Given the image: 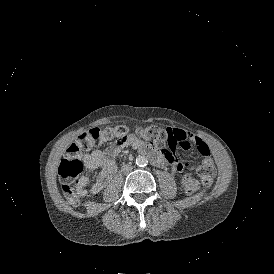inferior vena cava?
Masks as SVG:
<instances>
[{
  "instance_id": "obj_1",
  "label": "inferior vena cava",
  "mask_w": 274,
  "mask_h": 274,
  "mask_svg": "<svg viewBox=\"0 0 274 274\" xmlns=\"http://www.w3.org/2000/svg\"><path fill=\"white\" fill-rule=\"evenodd\" d=\"M128 168H129V169H130V171H131L132 167H131V166H128Z\"/></svg>"
}]
</instances>
